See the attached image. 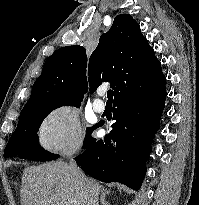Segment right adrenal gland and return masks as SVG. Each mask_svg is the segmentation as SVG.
Returning a JSON list of instances; mask_svg holds the SVG:
<instances>
[{
    "instance_id": "2a0ac1e0",
    "label": "right adrenal gland",
    "mask_w": 199,
    "mask_h": 205,
    "mask_svg": "<svg viewBox=\"0 0 199 205\" xmlns=\"http://www.w3.org/2000/svg\"><path fill=\"white\" fill-rule=\"evenodd\" d=\"M109 193H110V191L107 190V189H102V190H101L100 201H101L102 205H107L106 196H107Z\"/></svg>"
}]
</instances>
